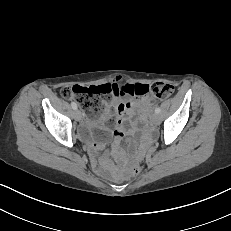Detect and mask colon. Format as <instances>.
I'll use <instances>...</instances> for the list:
<instances>
[{
  "label": "colon",
  "instance_id": "5ec220e1",
  "mask_svg": "<svg viewBox=\"0 0 231 231\" xmlns=\"http://www.w3.org/2000/svg\"><path fill=\"white\" fill-rule=\"evenodd\" d=\"M125 90L135 96L145 97V106L150 107L157 99L170 97L174 89L170 84L156 82L153 85L135 84L126 87ZM60 95L65 99H74L89 116L103 117L107 104L113 98L121 96V90L113 83L94 86L75 85L63 87ZM141 171L142 165L137 163L131 169V174L138 175Z\"/></svg>",
  "mask_w": 231,
  "mask_h": 231
}]
</instances>
